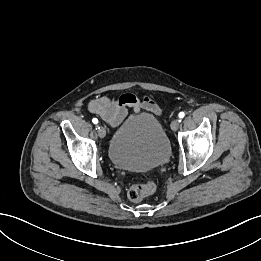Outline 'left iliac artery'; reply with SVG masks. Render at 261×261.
Wrapping results in <instances>:
<instances>
[{"label": "left iliac artery", "mask_w": 261, "mask_h": 261, "mask_svg": "<svg viewBox=\"0 0 261 261\" xmlns=\"http://www.w3.org/2000/svg\"><path fill=\"white\" fill-rule=\"evenodd\" d=\"M178 116H179V118H183V117L185 116V113H184V112H180V113L178 114Z\"/></svg>", "instance_id": "44dca946"}]
</instances>
